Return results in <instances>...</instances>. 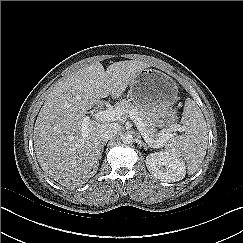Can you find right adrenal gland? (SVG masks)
<instances>
[{
	"label": "right adrenal gland",
	"instance_id": "1",
	"mask_svg": "<svg viewBox=\"0 0 243 243\" xmlns=\"http://www.w3.org/2000/svg\"><path fill=\"white\" fill-rule=\"evenodd\" d=\"M107 144V141H102L100 146H99V154L98 157L99 159L102 157V153L104 151V146Z\"/></svg>",
	"mask_w": 243,
	"mask_h": 243
}]
</instances>
